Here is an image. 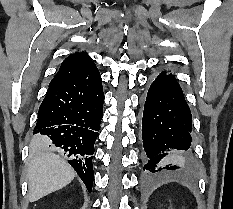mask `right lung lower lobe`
Segmentation results:
<instances>
[{
    "label": "right lung lower lobe",
    "instance_id": "right-lung-lower-lobe-1",
    "mask_svg": "<svg viewBox=\"0 0 233 209\" xmlns=\"http://www.w3.org/2000/svg\"><path fill=\"white\" fill-rule=\"evenodd\" d=\"M103 100L101 76L93 64L49 86L34 129L35 134L45 135L64 149L89 192L94 180L92 155L103 116Z\"/></svg>",
    "mask_w": 233,
    "mask_h": 209
}]
</instances>
